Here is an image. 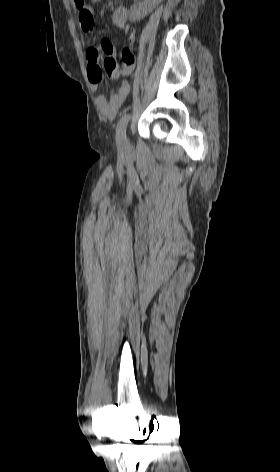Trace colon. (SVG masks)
<instances>
[{
  "label": "colon",
  "mask_w": 280,
  "mask_h": 472,
  "mask_svg": "<svg viewBox=\"0 0 280 472\" xmlns=\"http://www.w3.org/2000/svg\"><path fill=\"white\" fill-rule=\"evenodd\" d=\"M123 63L126 65H134L135 57L129 46H126L121 51ZM104 70L106 75L111 79H118L120 77L119 67L116 61L107 59L104 61Z\"/></svg>",
  "instance_id": "colon-1"
}]
</instances>
